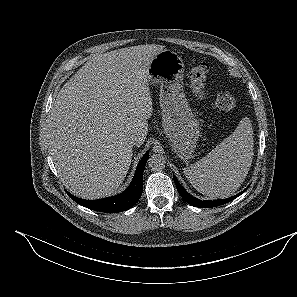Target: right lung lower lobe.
<instances>
[{
  "instance_id": "right-lung-lower-lobe-1",
  "label": "right lung lower lobe",
  "mask_w": 297,
  "mask_h": 297,
  "mask_svg": "<svg viewBox=\"0 0 297 297\" xmlns=\"http://www.w3.org/2000/svg\"><path fill=\"white\" fill-rule=\"evenodd\" d=\"M148 158L149 155L146 153L139 162L132 183L124 192L119 195L100 200L88 201L77 198L67 191L66 192L75 202L91 210L104 213H117L128 210L138 202L142 195L143 171Z\"/></svg>"
}]
</instances>
